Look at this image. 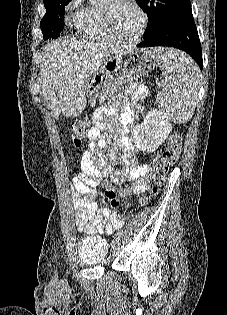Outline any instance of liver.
<instances>
[{
	"mask_svg": "<svg viewBox=\"0 0 227 315\" xmlns=\"http://www.w3.org/2000/svg\"><path fill=\"white\" fill-rule=\"evenodd\" d=\"M121 51L114 45L59 38L43 47L42 95L53 117H77L86 107L90 78H95ZM56 93L58 96H56Z\"/></svg>",
	"mask_w": 227,
	"mask_h": 315,
	"instance_id": "1",
	"label": "liver"
}]
</instances>
